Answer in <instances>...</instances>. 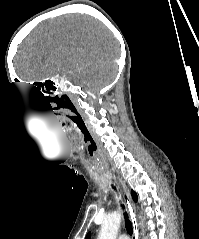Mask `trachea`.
Here are the masks:
<instances>
[{
	"label": "trachea",
	"instance_id": "1",
	"mask_svg": "<svg viewBox=\"0 0 199 239\" xmlns=\"http://www.w3.org/2000/svg\"><path fill=\"white\" fill-rule=\"evenodd\" d=\"M115 189V187H114ZM122 207L124 208V205H122ZM124 216H125V227H126V230L127 232L132 235V231H133V228H132V223L131 221L128 219V216H127V213L125 212L124 213Z\"/></svg>",
	"mask_w": 199,
	"mask_h": 239
}]
</instances>
